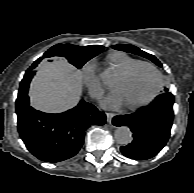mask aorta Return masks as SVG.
I'll return each mask as SVG.
<instances>
[{"mask_svg": "<svg viewBox=\"0 0 194 193\" xmlns=\"http://www.w3.org/2000/svg\"><path fill=\"white\" fill-rule=\"evenodd\" d=\"M100 76L106 82L110 81L112 78V74L109 70L101 72ZM114 137L118 144L127 145L132 140V133L127 126H121L116 129Z\"/></svg>", "mask_w": 194, "mask_h": 193, "instance_id": "1", "label": "aorta"}]
</instances>
